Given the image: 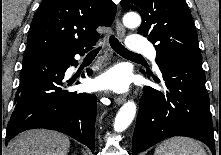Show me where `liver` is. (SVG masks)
Masks as SVG:
<instances>
[{
	"label": "liver",
	"mask_w": 221,
	"mask_h": 155,
	"mask_svg": "<svg viewBox=\"0 0 221 155\" xmlns=\"http://www.w3.org/2000/svg\"><path fill=\"white\" fill-rule=\"evenodd\" d=\"M69 138L59 132L34 129L16 136L10 143L6 155H67Z\"/></svg>",
	"instance_id": "liver-1"
}]
</instances>
